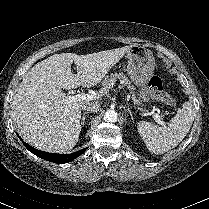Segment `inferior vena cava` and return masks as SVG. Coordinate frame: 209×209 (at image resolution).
Here are the masks:
<instances>
[{"label": "inferior vena cava", "mask_w": 209, "mask_h": 209, "mask_svg": "<svg viewBox=\"0 0 209 209\" xmlns=\"http://www.w3.org/2000/svg\"><path fill=\"white\" fill-rule=\"evenodd\" d=\"M82 109L87 112H98L100 105L97 103L87 102L82 105Z\"/></svg>", "instance_id": "1"}]
</instances>
